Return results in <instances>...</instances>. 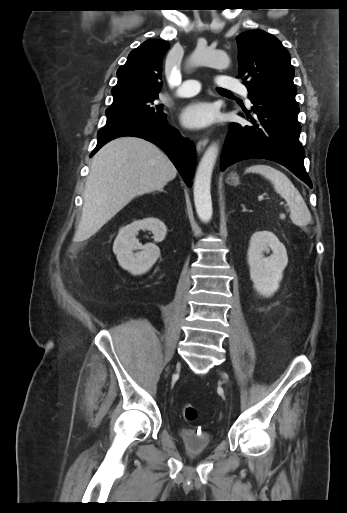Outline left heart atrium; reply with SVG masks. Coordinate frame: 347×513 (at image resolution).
<instances>
[{
  "instance_id": "39dd6f15",
  "label": "left heart atrium",
  "mask_w": 347,
  "mask_h": 513,
  "mask_svg": "<svg viewBox=\"0 0 347 513\" xmlns=\"http://www.w3.org/2000/svg\"><path fill=\"white\" fill-rule=\"evenodd\" d=\"M215 115V110L211 103L194 101L182 109L180 121L187 128L200 129L210 125L214 121Z\"/></svg>"
}]
</instances>
